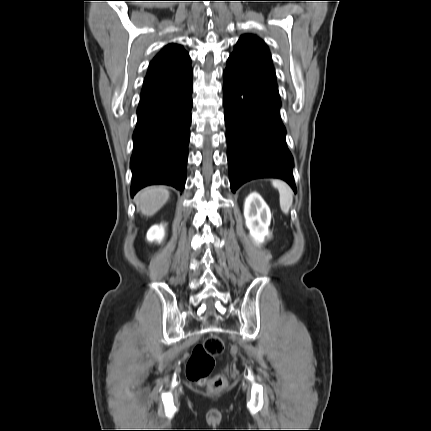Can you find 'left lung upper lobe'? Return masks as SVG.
I'll list each match as a JSON object with an SVG mask.
<instances>
[{"instance_id": "obj_1", "label": "left lung upper lobe", "mask_w": 431, "mask_h": 431, "mask_svg": "<svg viewBox=\"0 0 431 431\" xmlns=\"http://www.w3.org/2000/svg\"><path fill=\"white\" fill-rule=\"evenodd\" d=\"M227 66L276 84L268 48L254 35H243L238 40L234 52L228 58Z\"/></svg>"}]
</instances>
